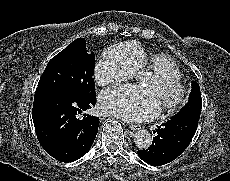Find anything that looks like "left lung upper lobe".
<instances>
[{"instance_id": "left-lung-upper-lobe-1", "label": "left lung upper lobe", "mask_w": 230, "mask_h": 181, "mask_svg": "<svg viewBox=\"0 0 230 181\" xmlns=\"http://www.w3.org/2000/svg\"><path fill=\"white\" fill-rule=\"evenodd\" d=\"M202 109V98L199 85L193 81L192 90L189 96L188 103L183 107V109L173 116L171 119L178 118L180 116H194L200 118V113Z\"/></svg>"}]
</instances>
